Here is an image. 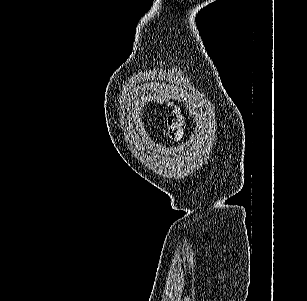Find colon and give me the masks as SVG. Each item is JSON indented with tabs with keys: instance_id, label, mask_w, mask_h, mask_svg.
Here are the masks:
<instances>
[{
	"instance_id": "colon-1",
	"label": "colon",
	"mask_w": 307,
	"mask_h": 301,
	"mask_svg": "<svg viewBox=\"0 0 307 301\" xmlns=\"http://www.w3.org/2000/svg\"><path fill=\"white\" fill-rule=\"evenodd\" d=\"M167 133L171 139L178 140L182 137L183 117L179 110L175 109L167 117Z\"/></svg>"
}]
</instances>
